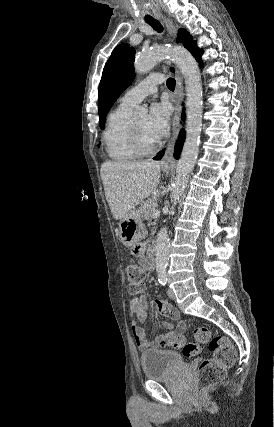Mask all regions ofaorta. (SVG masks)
<instances>
[{
    "mask_svg": "<svg viewBox=\"0 0 274 427\" xmlns=\"http://www.w3.org/2000/svg\"><path fill=\"white\" fill-rule=\"evenodd\" d=\"M170 57L180 69L186 89V139L181 157L177 164L175 185L171 193L172 203L176 204L183 194L195 161L198 156L200 134L202 128V81L198 65L194 57L183 47H156L152 50L138 53L135 58V72L145 74L161 60ZM138 114H146L145 108H138ZM169 237L167 230L162 228L157 236L155 256L156 271L161 281L166 280V267L169 261Z\"/></svg>",
    "mask_w": 274,
    "mask_h": 427,
    "instance_id": "1",
    "label": "aorta"
}]
</instances>
